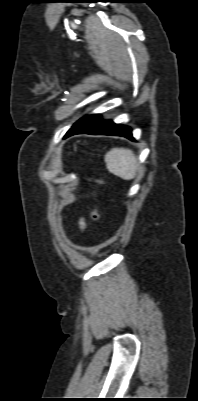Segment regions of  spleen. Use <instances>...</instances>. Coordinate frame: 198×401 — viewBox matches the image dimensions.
Instances as JSON below:
<instances>
[{
    "mask_svg": "<svg viewBox=\"0 0 198 401\" xmlns=\"http://www.w3.org/2000/svg\"><path fill=\"white\" fill-rule=\"evenodd\" d=\"M105 162L110 173L124 180H131L136 175L138 162L133 151L130 149H111L105 155Z\"/></svg>",
    "mask_w": 198,
    "mask_h": 401,
    "instance_id": "obj_1",
    "label": "spleen"
}]
</instances>
